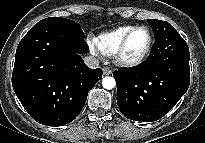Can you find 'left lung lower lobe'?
Returning a JSON list of instances; mask_svg holds the SVG:
<instances>
[{
	"instance_id": "obj_1",
	"label": "left lung lower lobe",
	"mask_w": 205,
	"mask_h": 143,
	"mask_svg": "<svg viewBox=\"0 0 205 143\" xmlns=\"http://www.w3.org/2000/svg\"><path fill=\"white\" fill-rule=\"evenodd\" d=\"M189 59L187 43L173 31L156 39L143 63L115 71L113 77L121 113L140 122L162 118L189 87Z\"/></svg>"
}]
</instances>
